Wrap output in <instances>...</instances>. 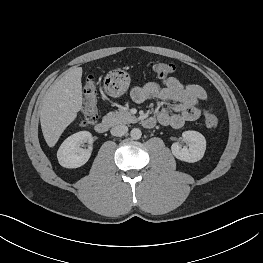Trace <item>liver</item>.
Masks as SVG:
<instances>
[{
    "label": "liver",
    "mask_w": 263,
    "mask_h": 263,
    "mask_svg": "<svg viewBox=\"0 0 263 263\" xmlns=\"http://www.w3.org/2000/svg\"><path fill=\"white\" fill-rule=\"evenodd\" d=\"M82 68L72 67L56 80L45 93L40 108L44 139L54 147L64 130L82 109Z\"/></svg>",
    "instance_id": "6515ba94"
}]
</instances>
